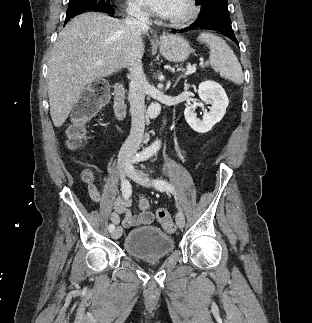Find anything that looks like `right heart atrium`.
I'll return each instance as SVG.
<instances>
[{
    "label": "right heart atrium",
    "instance_id": "right-heart-atrium-1",
    "mask_svg": "<svg viewBox=\"0 0 312 323\" xmlns=\"http://www.w3.org/2000/svg\"><path fill=\"white\" fill-rule=\"evenodd\" d=\"M113 3L118 6V9H123L124 13H130V17H150V10H140L139 6H128L127 2L113 0Z\"/></svg>",
    "mask_w": 312,
    "mask_h": 323
}]
</instances>
